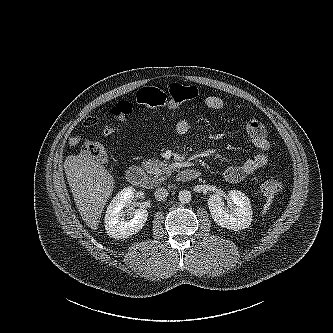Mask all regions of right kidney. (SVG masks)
<instances>
[{"instance_id": "1", "label": "right kidney", "mask_w": 333, "mask_h": 333, "mask_svg": "<svg viewBox=\"0 0 333 333\" xmlns=\"http://www.w3.org/2000/svg\"><path fill=\"white\" fill-rule=\"evenodd\" d=\"M135 196V189L131 186L122 189L110 202L105 214V230L116 239H125L139 232L145 225L148 212L144 208L133 211L132 219H125L126 210Z\"/></svg>"}]
</instances>
